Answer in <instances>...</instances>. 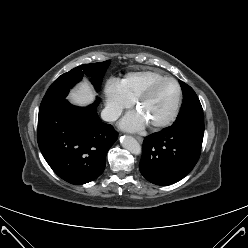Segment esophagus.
<instances>
[{
  "label": "esophagus",
  "mask_w": 248,
  "mask_h": 248,
  "mask_svg": "<svg viewBox=\"0 0 248 248\" xmlns=\"http://www.w3.org/2000/svg\"><path fill=\"white\" fill-rule=\"evenodd\" d=\"M136 140H138L139 142H142L143 141V138L140 137V136H134Z\"/></svg>",
  "instance_id": "obj_1"
}]
</instances>
